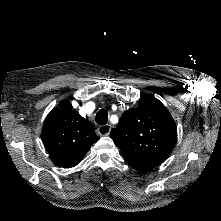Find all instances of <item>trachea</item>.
<instances>
[{"mask_svg": "<svg viewBox=\"0 0 221 221\" xmlns=\"http://www.w3.org/2000/svg\"><path fill=\"white\" fill-rule=\"evenodd\" d=\"M95 121L99 124V125H106L108 122V113L105 109H101L97 112L96 114V119Z\"/></svg>", "mask_w": 221, "mask_h": 221, "instance_id": "obj_1", "label": "trachea"}]
</instances>
